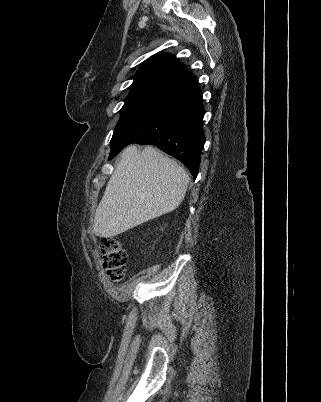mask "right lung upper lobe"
<instances>
[{
    "label": "right lung upper lobe",
    "mask_w": 321,
    "mask_h": 402,
    "mask_svg": "<svg viewBox=\"0 0 321 402\" xmlns=\"http://www.w3.org/2000/svg\"><path fill=\"white\" fill-rule=\"evenodd\" d=\"M189 77L174 56L160 52L144 62L136 73L131 87L136 88L154 83L175 87Z\"/></svg>",
    "instance_id": "obj_1"
}]
</instances>
